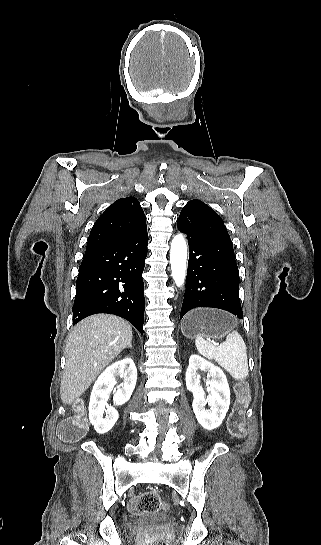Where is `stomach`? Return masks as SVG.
<instances>
[{
  "label": "stomach",
  "instance_id": "0dacf381",
  "mask_svg": "<svg viewBox=\"0 0 321 545\" xmlns=\"http://www.w3.org/2000/svg\"><path fill=\"white\" fill-rule=\"evenodd\" d=\"M234 327L236 319L219 309H194L181 323V331L189 339H195L197 335L208 339H222Z\"/></svg>",
  "mask_w": 321,
  "mask_h": 545
}]
</instances>
